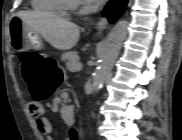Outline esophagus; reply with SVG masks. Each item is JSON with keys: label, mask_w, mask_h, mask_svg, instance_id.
Returning <instances> with one entry per match:
<instances>
[{"label": "esophagus", "mask_w": 182, "mask_h": 140, "mask_svg": "<svg viewBox=\"0 0 182 140\" xmlns=\"http://www.w3.org/2000/svg\"><path fill=\"white\" fill-rule=\"evenodd\" d=\"M107 25V19L106 18H101L100 21L97 24V30L99 33H101Z\"/></svg>", "instance_id": "34e87169"}]
</instances>
